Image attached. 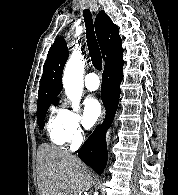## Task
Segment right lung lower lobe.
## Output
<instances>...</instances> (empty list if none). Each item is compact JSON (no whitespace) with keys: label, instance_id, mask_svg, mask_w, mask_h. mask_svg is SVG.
Wrapping results in <instances>:
<instances>
[{"label":"right lung lower lobe","instance_id":"obj_1","mask_svg":"<svg viewBox=\"0 0 178 195\" xmlns=\"http://www.w3.org/2000/svg\"><path fill=\"white\" fill-rule=\"evenodd\" d=\"M123 79V65L104 70L102 75L101 98L107 110L105 120L97 126L79 151L80 159L96 173L101 174L107 164L106 130L114 119Z\"/></svg>","mask_w":178,"mask_h":195}]
</instances>
